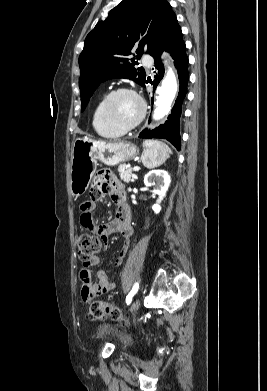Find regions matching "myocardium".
I'll use <instances>...</instances> for the list:
<instances>
[{"label":"myocardium","mask_w":267,"mask_h":391,"mask_svg":"<svg viewBox=\"0 0 267 391\" xmlns=\"http://www.w3.org/2000/svg\"><path fill=\"white\" fill-rule=\"evenodd\" d=\"M121 93L131 94L132 96H134L137 99V101L139 102V105H140V113H139L138 117L136 118L135 121H133L131 124L126 125V126H123V125L116 123L111 118L110 113H109V105H110L111 100L116 95L121 94ZM146 110H147V107H146L144 99L141 97V95L137 91H135L134 89L129 88V87H118V88L111 90L104 97V100L102 103V117H103L104 121L112 129H114L116 131H120L122 133L129 132V131L133 130L134 128H136L143 121V119L146 115Z\"/></svg>","instance_id":"f54148a6"}]
</instances>
